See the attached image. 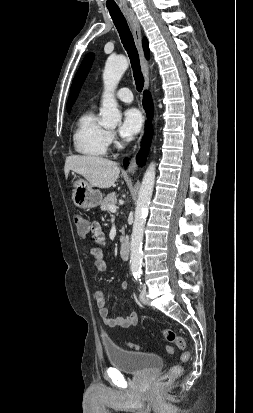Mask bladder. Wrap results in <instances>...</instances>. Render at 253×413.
<instances>
[{"label": "bladder", "mask_w": 253, "mask_h": 413, "mask_svg": "<svg viewBox=\"0 0 253 413\" xmlns=\"http://www.w3.org/2000/svg\"><path fill=\"white\" fill-rule=\"evenodd\" d=\"M103 349L111 366L129 374H143L163 365L158 354L129 350L107 340Z\"/></svg>", "instance_id": "obj_1"}]
</instances>
